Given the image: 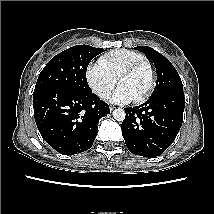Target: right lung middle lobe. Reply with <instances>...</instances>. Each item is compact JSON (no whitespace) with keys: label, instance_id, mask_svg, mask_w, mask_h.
Here are the masks:
<instances>
[{"label":"right lung middle lobe","instance_id":"dd1d6c3e","mask_svg":"<svg viewBox=\"0 0 214 214\" xmlns=\"http://www.w3.org/2000/svg\"><path fill=\"white\" fill-rule=\"evenodd\" d=\"M103 51L89 45H77L57 54L41 71L34 92L47 88L92 92L86 79L87 67Z\"/></svg>","mask_w":214,"mask_h":214}]
</instances>
